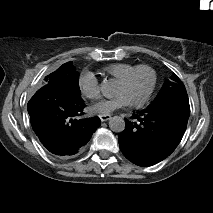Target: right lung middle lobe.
<instances>
[{
	"instance_id": "1",
	"label": "right lung middle lobe",
	"mask_w": 213,
	"mask_h": 213,
	"mask_svg": "<svg viewBox=\"0 0 213 213\" xmlns=\"http://www.w3.org/2000/svg\"><path fill=\"white\" fill-rule=\"evenodd\" d=\"M78 80L79 76L73 63L67 62L60 66L55 72L46 76L44 79V84L59 85L73 93L81 95Z\"/></svg>"
}]
</instances>
